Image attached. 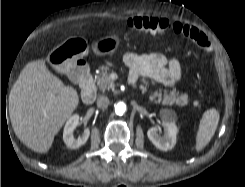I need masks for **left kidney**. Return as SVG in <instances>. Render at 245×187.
<instances>
[{
	"instance_id": "5707ae66",
	"label": "left kidney",
	"mask_w": 245,
	"mask_h": 187,
	"mask_svg": "<svg viewBox=\"0 0 245 187\" xmlns=\"http://www.w3.org/2000/svg\"><path fill=\"white\" fill-rule=\"evenodd\" d=\"M162 119V127L164 135L161 136V128L159 126L152 127L147 131L149 140L155 145L156 148L162 151L172 149L176 144V135L178 128L176 126V113L170 109H162L160 111Z\"/></svg>"
}]
</instances>
